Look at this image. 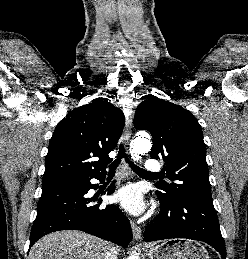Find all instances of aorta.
Segmentation results:
<instances>
[{"label":"aorta","mask_w":248,"mask_h":259,"mask_svg":"<svg viewBox=\"0 0 248 259\" xmlns=\"http://www.w3.org/2000/svg\"><path fill=\"white\" fill-rule=\"evenodd\" d=\"M151 148V142L146 134H140L131 143V156L134 160H138L141 154L149 151ZM130 259H137L135 256Z\"/></svg>","instance_id":"1"}]
</instances>
